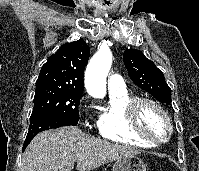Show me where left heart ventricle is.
Returning a JSON list of instances; mask_svg holds the SVG:
<instances>
[{"mask_svg": "<svg viewBox=\"0 0 199 171\" xmlns=\"http://www.w3.org/2000/svg\"><path fill=\"white\" fill-rule=\"evenodd\" d=\"M142 124L153 136L164 138L168 133V127L163 116L153 107L146 106L142 115Z\"/></svg>", "mask_w": 199, "mask_h": 171, "instance_id": "1", "label": "left heart ventricle"}]
</instances>
